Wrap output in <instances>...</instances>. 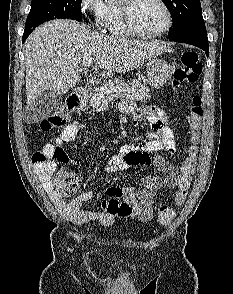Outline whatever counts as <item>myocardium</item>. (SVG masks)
Wrapping results in <instances>:
<instances>
[{"instance_id":"myocardium-1","label":"myocardium","mask_w":233,"mask_h":294,"mask_svg":"<svg viewBox=\"0 0 233 294\" xmlns=\"http://www.w3.org/2000/svg\"><path fill=\"white\" fill-rule=\"evenodd\" d=\"M156 1L164 9L166 13V17H167V23L165 27L158 32L145 33L140 31L134 23L133 8H134V5L138 2V0H125L124 4L121 6V10H122V16H123V22H124L125 28L130 35H133L139 38H144V39H153V38H157L166 34L171 29L173 25V16L169 6L164 0H156Z\"/></svg>"}]
</instances>
